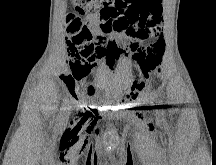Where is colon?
Instances as JSON below:
<instances>
[{
  "mask_svg": "<svg viewBox=\"0 0 216 165\" xmlns=\"http://www.w3.org/2000/svg\"><path fill=\"white\" fill-rule=\"evenodd\" d=\"M135 0H80L75 5V12L67 16V33L69 35V62H80L91 68L99 67L101 60L106 58L109 40L90 28L89 22L82 17L87 13L100 11L101 8L116 10L118 5H131ZM101 13V12H100ZM142 37L151 42L135 54L139 62L141 74L145 78L151 70L157 68L164 54V42L160 27L147 29Z\"/></svg>",
  "mask_w": 216,
  "mask_h": 165,
  "instance_id": "colon-1",
  "label": "colon"
}]
</instances>
